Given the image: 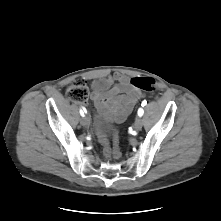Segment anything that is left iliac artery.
Returning <instances> with one entry per match:
<instances>
[{
  "label": "left iliac artery",
  "instance_id": "1",
  "mask_svg": "<svg viewBox=\"0 0 221 221\" xmlns=\"http://www.w3.org/2000/svg\"><path fill=\"white\" fill-rule=\"evenodd\" d=\"M143 107L146 105V101H143L141 104ZM144 113V110L142 108L138 109V115L141 117Z\"/></svg>",
  "mask_w": 221,
  "mask_h": 221
}]
</instances>
